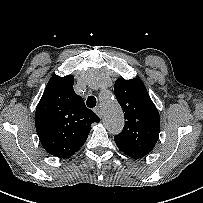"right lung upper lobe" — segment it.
<instances>
[{"label":"right lung upper lobe","mask_w":203,"mask_h":203,"mask_svg":"<svg viewBox=\"0 0 203 203\" xmlns=\"http://www.w3.org/2000/svg\"><path fill=\"white\" fill-rule=\"evenodd\" d=\"M74 77L53 75L35 113L40 142L51 155L69 158L86 141L93 122L100 118L86 108L73 89Z\"/></svg>","instance_id":"cb5924a9"}]
</instances>
